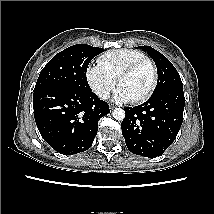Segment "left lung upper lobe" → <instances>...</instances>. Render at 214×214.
I'll return each instance as SVG.
<instances>
[{
	"label": "left lung upper lobe",
	"mask_w": 214,
	"mask_h": 214,
	"mask_svg": "<svg viewBox=\"0 0 214 214\" xmlns=\"http://www.w3.org/2000/svg\"><path fill=\"white\" fill-rule=\"evenodd\" d=\"M154 60L157 66L158 82L152 96L170 89L183 88L181 78L172 63L160 52L150 46H140Z\"/></svg>",
	"instance_id": "5c2ea615"
}]
</instances>
